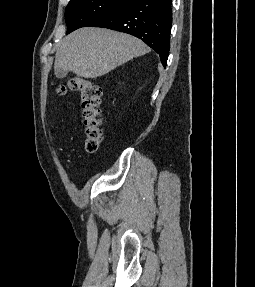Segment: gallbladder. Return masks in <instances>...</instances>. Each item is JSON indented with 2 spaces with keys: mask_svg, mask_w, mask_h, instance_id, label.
<instances>
[{
  "mask_svg": "<svg viewBox=\"0 0 255 287\" xmlns=\"http://www.w3.org/2000/svg\"><path fill=\"white\" fill-rule=\"evenodd\" d=\"M56 78H66L68 70H63V68H55L54 70Z\"/></svg>",
  "mask_w": 255,
  "mask_h": 287,
  "instance_id": "bac80fb5",
  "label": "gallbladder"
}]
</instances>
